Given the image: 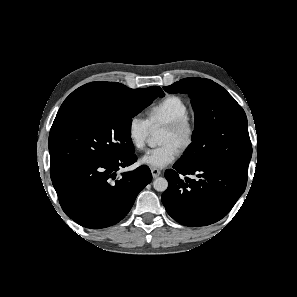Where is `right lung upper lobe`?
I'll list each match as a JSON object with an SVG mask.
<instances>
[{"instance_id":"right-lung-upper-lobe-1","label":"right lung upper lobe","mask_w":297,"mask_h":297,"mask_svg":"<svg viewBox=\"0 0 297 297\" xmlns=\"http://www.w3.org/2000/svg\"><path fill=\"white\" fill-rule=\"evenodd\" d=\"M157 87L162 93V89ZM130 89L117 82H92L85 84L73 91L61 105L57 115L64 114L70 110L88 103L104 102L113 98L117 93L123 95L131 92ZM164 94V93H163Z\"/></svg>"}]
</instances>
